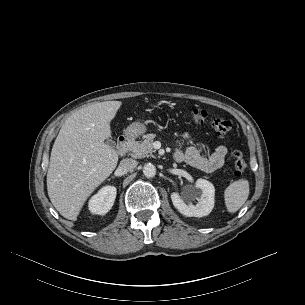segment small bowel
<instances>
[{
    "mask_svg": "<svg viewBox=\"0 0 305 305\" xmlns=\"http://www.w3.org/2000/svg\"><path fill=\"white\" fill-rule=\"evenodd\" d=\"M183 139L189 142L188 135L184 134ZM173 158L176 162H186L204 172H214L220 169L227 160V148L219 146L213 154L206 157L193 145L189 144L184 150L176 146Z\"/></svg>",
    "mask_w": 305,
    "mask_h": 305,
    "instance_id": "c3829d8e",
    "label": "small bowel"
}]
</instances>
